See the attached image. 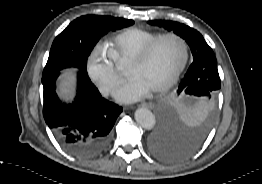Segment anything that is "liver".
Instances as JSON below:
<instances>
[{"label":"liver","mask_w":262,"mask_h":184,"mask_svg":"<svg viewBox=\"0 0 262 184\" xmlns=\"http://www.w3.org/2000/svg\"><path fill=\"white\" fill-rule=\"evenodd\" d=\"M67 75V79L62 83V91L65 94H69L71 92V85H72V81H73V77L70 76V72L66 74Z\"/></svg>","instance_id":"liver-1"}]
</instances>
